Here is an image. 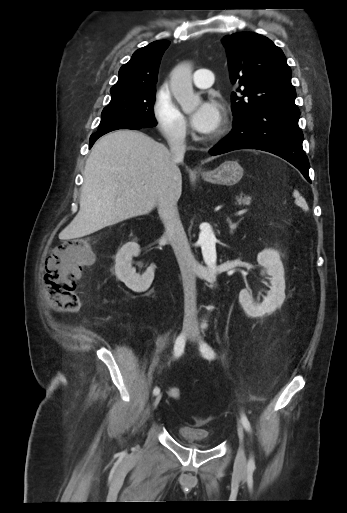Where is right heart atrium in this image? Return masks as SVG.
I'll use <instances>...</instances> for the list:
<instances>
[{
    "label": "right heart atrium",
    "instance_id": "right-heart-atrium-1",
    "mask_svg": "<svg viewBox=\"0 0 347 513\" xmlns=\"http://www.w3.org/2000/svg\"><path fill=\"white\" fill-rule=\"evenodd\" d=\"M151 111L156 127L167 141L181 143L186 140L189 134L188 123L168 83H162L155 91Z\"/></svg>",
    "mask_w": 347,
    "mask_h": 513
}]
</instances>
